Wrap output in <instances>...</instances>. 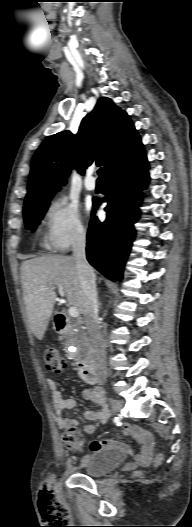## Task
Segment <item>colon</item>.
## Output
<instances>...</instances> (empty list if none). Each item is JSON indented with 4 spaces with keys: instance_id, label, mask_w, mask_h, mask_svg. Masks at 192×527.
I'll list each match as a JSON object with an SVG mask.
<instances>
[{
    "instance_id": "obj_1",
    "label": "colon",
    "mask_w": 192,
    "mask_h": 527,
    "mask_svg": "<svg viewBox=\"0 0 192 527\" xmlns=\"http://www.w3.org/2000/svg\"><path fill=\"white\" fill-rule=\"evenodd\" d=\"M44 358L47 369L51 372L62 373L67 367L66 360L56 347L47 348L44 353ZM63 441L69 448L74 450H81L83 447V441L77 436L75 426L70 427L68 432L63 435ZM157 461H160V457L157 458ZM40 497L45 512L47 511L48 503H56L50 480L45 481L42 485ZM62 509L64 510V508Z\"/></svg>"
}]
</instances>
